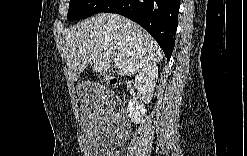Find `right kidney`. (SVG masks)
I'll use <instances>...</instances> for the list:
<instances>
[{"label":"right kidney","mask_w":247,"mask_h":156,"mask_svg":"<svg viewBox=\"0 0 247 156\" xmlns=\"http://www.w3.org/2000/svg\"><path fill=\"white\" fill-rule=\"evenodd\" d=\"M157 78L158 68L155 64L144 65L135 76V86L142 95L141 99L145 104L149 103L152 99ZM127 112L130 119L135 124H138L142 121L146 113V109L143 105H140L137 101L132 99L127 105Z\"/></svg>","instance_id":"ca27d5eb"}]
</instances>
